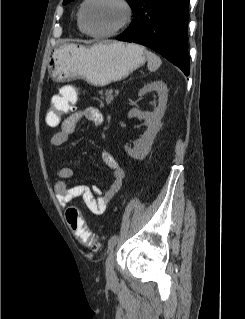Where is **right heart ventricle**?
Masks as SVG:
<instances>
[{"instance_id": "right-heart-ventricle-1", "label": "right heart ventricle", "mask_w": 245, "mask_h": 319, "mask_svg": "<svg viewBox=\"0 0 245 319\" xmlns=\"http://www.w3.org/2000/svg\"><path fill=\"white\" fill-rule=\"evenodd\" d=\"M78 27H79V29H80L81 31H83L82 28H81V26H80L79 15H78Z\"/></svg>"}]
</instances>
